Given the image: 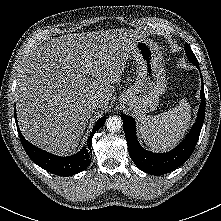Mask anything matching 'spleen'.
<instances>
[{
  "label": "spleen",
  "instance_id": "obj_1",
  "mask_svg": "<svg viewBox=\"0 0 221 221\" xmlns=\"http://www.w3.org/2000/svg\"><path fill=\"white\" fill-rule=\"evenodd\" d=\"M191 107L183 98L176 106L155 116H140L138 130L145 144L156 151L173 148L186 133L191 119Z\"/></svg>",
  "mask_w": 221,
  "mask_h": 221
}]
</instances>
